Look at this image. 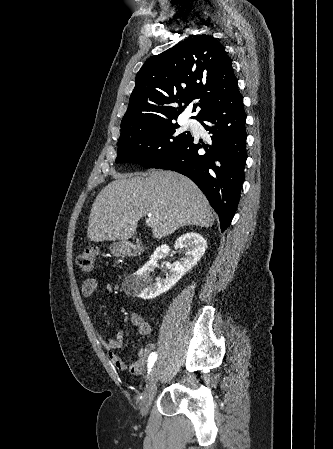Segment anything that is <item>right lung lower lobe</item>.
Here are the masks:
<instances>
[{"label":"right lung lower lobe","instance_id":"obj_1","mask_svg":"<svg viewBox=\"0 0 333 449\" xmlns=\"http://www.w3.org/2000/svg\"><path fill=\"white\" fill-rule=\"evenodd\" d=\"M245 120L241 94L221 100L198 119L211 134V142L205 144L191 137L155 167L189 177L219 215L222 232L231 223L244 181L247 159Z\"/></svg>","mask_w":333,"mask_h":449}]
</instances>
